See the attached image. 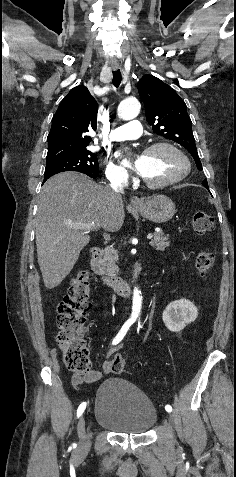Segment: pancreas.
Returning a JSON list of instances; mask_svg holds the SVG:
<instances>
[{
    "mask_svg": "<svg viewBox=\"0 0 236 477\" xmlns=\"http://www.w3.org/2000/svg\"><path fill=\"white\" fill-rule=\"evenodd\" d=\"M154 238L151 241V245L156 247L157 250L164 251L169 246L168 239L162 231L155 232ZM118 260V252L113 246H108L103 251L102 258L99 262L100 273L106 274L109 277H115L119 271L116 262Z\"/></svg>",
    "mask_w": 236,
    "mask_h": 477,
    "instance_id": "1",
    "label": "pancreas"
}]
</instances>
